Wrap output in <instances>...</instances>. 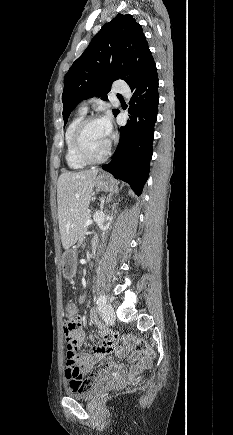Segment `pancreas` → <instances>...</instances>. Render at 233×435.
<instances>
[{
    "mask_svg": "<svg viewBox=\"0 0 233 435\" xmlns=\"http://www.w3.org/2000/svg\"><path fill=\"white\" fill-rule=\"evenodd\" d=\"M90 218H91V215H90V214H86V215L84 216L83 220H82V226H81V231H80V236H79L81 239L84 238V235H85V233L87 232V228L84 227V223H85L86 220H88V219H90Z\"/></svg>",
    "mask_w": 233,
    "mask_h": 435,
    "instance_id": "cf45deb5",
    "label": "pancreas"
}]
</instances>
